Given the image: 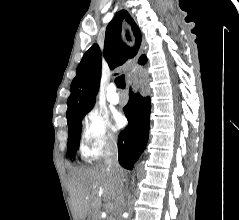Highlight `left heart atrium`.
<instances>
[{"label": "left heart atrium", "instance_id": "39dd6f15", "mask_svg": "<svg viewBox=\"0 0 239 220\" xmlns=\"http://www.w3.org/2000/svg\"><path fill=\"white\" fill-rule=\"evenodd\" d=\"M115 128H120L124 124V119L120 114L114 115Z\"/></svg>", "mask_w": 239, "mask_h": 220}]
</instances>
